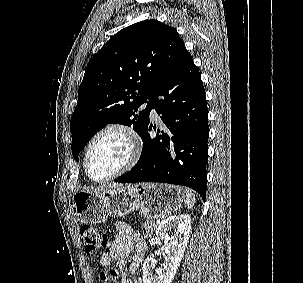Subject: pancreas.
Here are the masks:
<instances>
[{"instance_id":"obj_1","label":"pancreas","mask_w":303,"mask_h":283,"mask_svg":"<svg viewBox=\"0 0 303 283\" xmlns=\"http://www.w3.org/2000/svg\"><path fill=\"white\" fill-rule=\"evenodd\" d=\"M143 229H145L146 233L151 236L153 234V231L156 229V224L153 220H147L142 225Z\"/></svg>"}]
</instances>
